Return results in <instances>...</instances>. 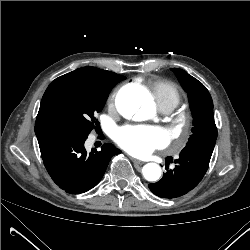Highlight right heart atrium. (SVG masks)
I'll list each match as a JSON object with an SVG mask.
<instances>
[{"mask_svg": "<svg viewBox=\"0 0 250 250\" xmlns=\"http://www.w3.org/2000/svg\"><path fill=\"white\" fill-rule=\"evenodd\" d=\"M113 102V97H111V99H110V103H112Z\"/></svg>", "mask_w": 250, "mask_h": 250, "instance_id": "d8ad5b80", "label": "right heart atrium"}]
</instances>
